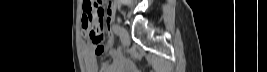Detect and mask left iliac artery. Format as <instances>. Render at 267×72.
Listing matches in <instances>:
<instances>
[{
	"mask_svg": "<svg viewBox=\"0 0 267 72\" xmlns=\"http://www.w3.org/2000/svg\"><path fill=\"white\" fill-rule=\"evenodd\" d=\"M112 29H113L115 34H117V35L120 34L121 27L118 24H113Z\"/></svg>",
	"mask_w": 267,
	"mask_h": 72,
	"instance_id": "left-iliac-artery-1",
	"label": "left iliac artery"
}]
</instances>
